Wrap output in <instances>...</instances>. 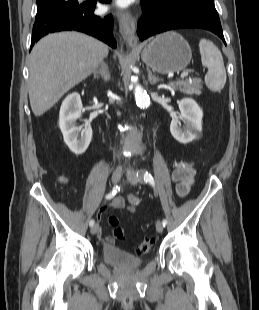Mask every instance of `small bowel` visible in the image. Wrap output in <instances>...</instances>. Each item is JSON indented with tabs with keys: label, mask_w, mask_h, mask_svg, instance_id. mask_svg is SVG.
<instances>
[{
	"label": "small bowel",
	"mask_w": 259,
	"mask_h": 310,
	"mask_svg": "<svg viewBox=\"0 0 259 310\" xmlns=\"http://www.w3.org/2000/svg\"><path fill=\"white\" fill-rule=\"evenodd\" d=\"M172 167V181L175 183L176 187V194L180 198H184L188 195L190 188L194 182V175H195V167L194 164L191 162L176 160L171 163ZM128 201L130 206L128 210L130 212H134L136 205L138 204L139 200L134 195H129ZM125 199L121 196H117L113 198L110 203L109 207L113 209H122L125 207ZM107 210L106 206L100 208V213H104ZM99 239L103 242L104 246H113L115 240L113 237L107 236L104 237L102 230L98 229L97 231Z\"/></svg>",
	"instance_id": "obj_1"
}]
</instances>
